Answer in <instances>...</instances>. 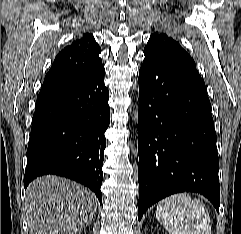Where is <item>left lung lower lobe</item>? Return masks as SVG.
Returning <instances> with one entry per match:
<instances>
[{
  "label": "left lung lower lobe",
  "mask_w": 241,
  "mask_h": 234,
  "mask_svg": "<svg viewBox=\"0 0 241 234\" xmlns=\"http://www.w3.org/2000/svg\"><path fill=\"white\" fill-rule=\"evenodd\" d=\"M139 71L138 219L154 203L191 191L219 212V158L211 104L195 68L144 50Z\"/></svg>",
  "instance_id": "obj_1"
}]
</instances>
